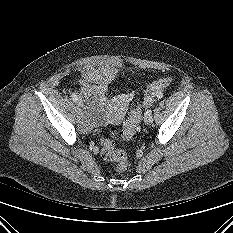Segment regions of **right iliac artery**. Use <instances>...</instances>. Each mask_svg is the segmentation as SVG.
Returning <instances> with one entry per match:
<instances>
[{
  "instance_id": "1",
  "label": "right iliac artery",
  "mask_w": 233,
  "mask_h": 233,
  "mask_svg": "<svg viewBox=\"0 0 233 233\" xmlns=\"http://www.w3.org/2000/svg\"><path fill=\"white\" fill-rule=\"evenodd\" d=\"M71 98H72V100H73L74 102H77V101H78V97H77L76 94H72V95H71Z\"/></svg>"
}]
</instances>
